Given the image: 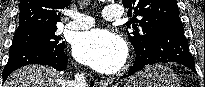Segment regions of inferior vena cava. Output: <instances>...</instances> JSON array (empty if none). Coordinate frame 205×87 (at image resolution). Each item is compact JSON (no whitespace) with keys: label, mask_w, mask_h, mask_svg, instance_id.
<instances>
[{"label":"inferior vena cava","mask_w":205,"mask_h":87,"mask_svg":"<svg viewBox=\"0 0 205 87\" xmlns=\"http://www.w3.org/2000/svg\"><path fill=\"white\" fill-rule=\"evenodd\" d=\"M68 87H86L87 81L85 76L81 73L75 75V80L67 83Z\"/></svg>","instance_id":"obj_1"}]
</instances>
